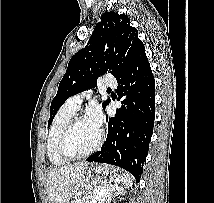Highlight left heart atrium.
<instances>
[{"label":"left heart atrium","instance_id":"obj_1","mask_svg":"<svg viewBox=\"0 0 214 203\" xmlns=\"http://www.w3.org/2000/svg\"><path fill=\"white\" fill-rule=\"evenodd\" d=\"M86 120L90 122L95 128L100 130L104 118L98 105H93L89 108L86 115Z\"/></svg>","mask_w":214,"mask_h":203}]
</instances>
